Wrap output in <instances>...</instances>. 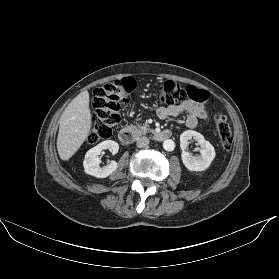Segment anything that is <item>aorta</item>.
Here are the masks:
<instances>
[{"instance_id":"1","label":"aorta","mask_w":279,"mask_h":279,"mask_svg":"<svg viewBox=\"0 0 279 279\" xmlns=\"http://www.w3.org/2000/svg\"><path fill=\"white\" fill-rule=\"evenodd\" d=\"M163 148L166 151H172L175 148V143L171 139H167L163 142Z\"/></svg>"}]
</instances>
